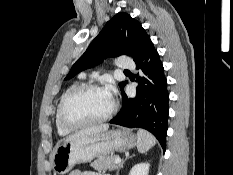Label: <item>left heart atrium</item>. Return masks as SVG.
I'll return each mask as SVG.
<instances>
[{"label": "left heart atrium", "instance_id": "1", "mask_svg": "<svg viewBox=\"0 0 233 175\" xmlns=\"http://www.w3.org/2000/svg\"><path fill=\"white\" fill-rule=\"evenodd\" d=\"M106 92L110 95L111 98H113V94H114V87L112 85H108L105 88Z\"/></svg>", "mask_w": 233, "mask_h": 175}]
</instances>
